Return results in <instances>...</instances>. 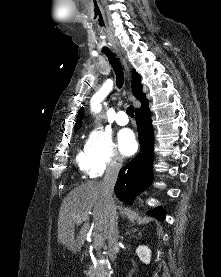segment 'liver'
I'll return each instance as SVG.
<instances>
[{"label":"liver","mask_w":221,"mask_h":277,"mask_svg":"<svg viewBox=\"0 0 221 277\" xmlns=\"http://www.w3.org/2000/svg\"><path fill=\"white\" fill-rule=\"evenodd\" d=\"M91 211L94 231L108 238L109 211L101 182L91 181L76 187L61 204L58 217V242L74 254L81 250L89 231V223L86 222L75 238V224L78 219L88 216Z\"/></svg>","instance_id":"liver-1"}]
</instances>
